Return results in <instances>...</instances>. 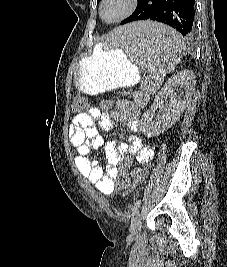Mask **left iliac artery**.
<instances>
[{
    "label": "left iliac artery",
    "mask_w": 227,
    "mask_h": 267,
    "mask_svg": "<svg viewBox=\"0 0 227 267\" xmlns=\"http://www.w3.org/2000/svg\"><path fill=\"white\" fill-rule=\"evenodd\" d=\"M140 204H141V200H137L135 203H134V206H133V209H132V212H133V215L134 213H136V211L138 210V208L140 207Z\"/></svg>",
    "instance_id": "left-iliac-artery-1"
}]
</instances>
